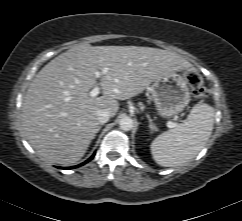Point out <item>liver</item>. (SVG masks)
Instances as JSON below:
<instances>
[{"instance_id": "liver-1", "label": "liver", "mask_w": 242, "mask_h": 221, "mask_svg": "<svg viewBox=\"0 0 242 221\" xmlns=\"http://www.w3.org/2000/svg\"><path fill=\"white\" fill-rule=\"evenodd\" d=\"M190 66L180 55L158 48L76 45L46 64L31 82L22 105L24 135L42 159L76 163L98 132V109L113 117L117 100L134 97L155 79ZM104 68L108 70L102 73ZM98 79L103 95L91 97Z\"/></svg>"}]
</instances>
